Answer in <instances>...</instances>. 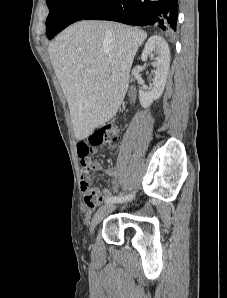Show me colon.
<instances>
[{"label":"colon","mask_w":227,"mask_h":298,"mask_svg":"<svg viewBox=\"0 0 227 298\" xmlns=\"http://www.w3.org/2000/svg\"><path fill=\"white\" fill-rule=\"evenodd\" d=\"M120 141L119 130L115 125H104L95 130L89 137V146H115ZM85 201L90 205H95L98 202V196L92 192L89 187L84 185Z\"/></svg>","instance_id":"colon-1"}]
</instances>
